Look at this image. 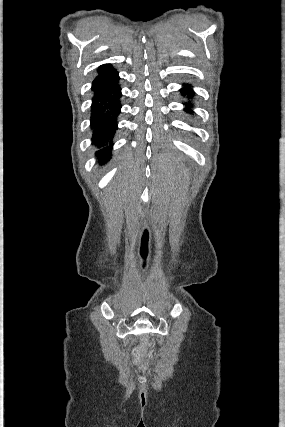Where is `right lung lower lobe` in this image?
Wrapping results in <instances>:
<instances>
[{
  "instance_id": "obj_1",
  "label": "right lung lower lobe",
  "mask_w": 285,
  "mask_h": 427,
  "mask_svg": "<svg viewBox=\"0 0 285 427\" xmlns=\"http://www.w3.org/2000/svg\"><path fill=\"white\" fill-rule=\"evenodd\" d=\"M118 81V73L114 70L99 75L92 84V142L97 148L96 156L101 165L111 158L113 138L117 130V117L121 110V88Z\"/></svg>"
}]
</instances>
